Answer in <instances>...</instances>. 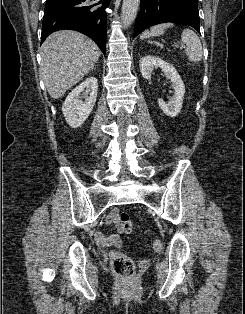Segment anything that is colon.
<instances>
[{
    "mask_svg": "<svg viewBox=\"0 0 245 314\" xmlns=\"http://www.w3.org/2000/svg\"><path fill=\"white\" fill-rule=\"evenodd\" d=\"M120 229L126 234L132 232L133 226L130 221L129 215L126 212H121L117 217ZM162 242L155 240L152 244L154 250L158 251L162 248ZM111 266L113 271L124 278L130 280L133 277L135 266L133 261L126 255L119 252L111 253Z\"/></svg>",
    "mask_w": 245,
    "mask_h": 314,
    "instance_id": "obj_1",
    "label": "colon"
}]
</instances>
